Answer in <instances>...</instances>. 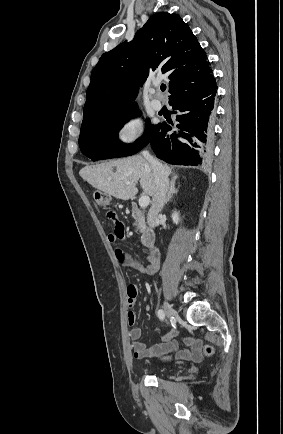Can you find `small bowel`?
I'll use <instances>...</instances> for the list:
<instances>
[{
	"mask_svg": "<svg viewBox=\"0 0 283 434\" xmlns=\"http://www.w3.org/2000/svg\"><path fill=\"white\" fill-rule=\"evenodd\" d=\"M108 218L114 221V230L108 234L110 242L126 239L124 224L119 221L113 212H108ZM116 257L123 263L124 266L133 268L145 275H152L158 268V252L152 250L148 255V264L143 265L128 254H125L121 249H116ZM138 294V288L135 284H130L127 287V304L132 308L135 304ZM127 322L131 327L129 337L133 349V355L136 359L167 357L176 353V358L180 360H199L202 357L201 342L193 337H186L183 340L184 348L178 350V343L175 340L178 334L177 329L171 330L169 334L164 336L159 343L148 346L140 341L142 336L141 328L136 326L137 317L134 311L130 310L127 314Z\"/></svg>",
	"mask_w": 283,
	"mask_h": 434,
	"instance_id": "obj_1",
	"label": "small bowel"
}]
</instances>
